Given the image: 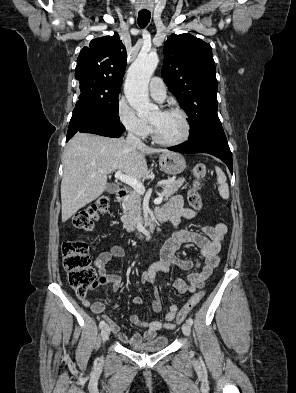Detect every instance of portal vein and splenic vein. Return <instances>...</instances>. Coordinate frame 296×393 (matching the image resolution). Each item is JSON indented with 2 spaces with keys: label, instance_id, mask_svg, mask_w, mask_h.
I'll list each match as a JSON object with an SVG mask.
<instances>
[{
  "label": "portal vein and splenic vein",
  "instance_id": "obj_1",
  "mask_svg": "<svg viewBox=\"0 0 296 393\" xmlns=\"http://www.w3.org/2000/svg\"><path fill=\"white\" fill-rule=\"evenodd\" d=\"M115 178L119 179L121 182L126 183L127 185L131 186L139 194L143 195L145 193V187L140 181L123 174L120 170H118L115 173ZM163 196H164V194L162 193L155 201L161 202Z\"/></svg>",
  "mask_w": 296,
  "mask_h": 393
}]
</instances>
